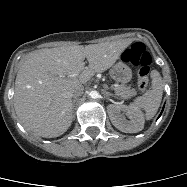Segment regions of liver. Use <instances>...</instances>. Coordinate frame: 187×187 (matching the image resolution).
<instances>
[{"label":"liver","instance_id":"liver-1","mask_svg":"<svg viewBox=\"0 0 187 187\" xmlns=\"http://www.w3.org/2000/svg\"><path fill=\"white\" fill-rule=\"evenodd\" d=\"M131 40L91 45H71L30 53L16 76L14 108L22 125L36 134L53 138L71 126V91L109 69ZM85 58L88 67H85ZM77 74L72 77L71 75Z\"/></svg>","mask_w":187,"mask_h":187}]
</instances>
